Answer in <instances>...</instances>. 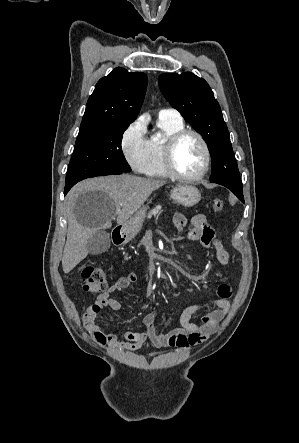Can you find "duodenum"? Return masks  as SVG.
Returning a JSON list of instances; mask_svg holds the SVG:
<instances>
[{
  "label": "duodenum",
  "instance_id": "1",
  "mask_svg": "<svg viewBox=\"0 0 299 443\" xmlns=\"http://www.w3.org/2000/svg\"><path fill=\"white\" fill-rule=\"evenodd\" d=\"M112 239L115 245H121L126 241L125 229L123 226H117L112 231Z\"/></svg>",
  "mask_w": 299,
  "mask_h": 443
}]
</instances>
